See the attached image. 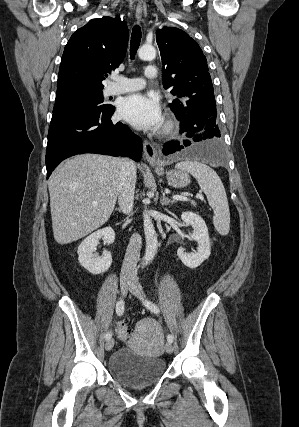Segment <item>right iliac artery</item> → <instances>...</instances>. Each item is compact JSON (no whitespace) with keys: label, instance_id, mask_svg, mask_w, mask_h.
<instances>
[{"label":"right iliac artery","instance_id":"82829eb1","mask_svg":"<svg viewBox=\"0 0 299 427\" xmlns=\"http://www.w3.org/2000/svg\"><path fill=\"white\" fill-rule=\"evenodd\" d=\"M124 301L122 299L118 300L117 304H116V313L118 314V316H121L124 313ZM112 337V332L109 331L106 333L105 335V339L109 340Z\"/></svg>","mask_w":299,"mask_h":427}]
</instances>
